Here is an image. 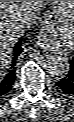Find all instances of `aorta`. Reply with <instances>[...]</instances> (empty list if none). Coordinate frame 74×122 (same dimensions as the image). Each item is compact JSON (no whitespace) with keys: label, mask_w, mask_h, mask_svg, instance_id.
<instances>
[{"label":"aorta","mask_w":74,"mask_h":122,"mask_svg":"<svg viewBox=\"0 0 74 122\" xmlns=\"http://www.w3.org/2000/svg\"><path fill=\"white\" fill-rule=\"evenodd\" d=\"M47 70L55 76H64L70 71L68 59L62 56H49L46 60Z\"/></svg>","instance_id":"1"}]
</instances>
